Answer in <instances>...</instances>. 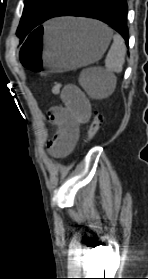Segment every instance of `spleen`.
Here are the masks:
<instances>
[{
    "mask_svg": "<svg viewBox=\"0 0 148 279\" xmlns=\"http://www.w3.org/2000/svg\"><path fill=\"white\" fill-rule=\"evenodd\" d=\"M126 45L124 39L116 34L113 36V43L105 59L107 73H120L125 63ZM88 71H83L79 82L81 86L93 98H105L115 89V82H107L102 79L90 80L86 78Z\"/></svg>",
    "mask_w": 148,
    "mask_h": 279,
    "instance_id": "obj_1",
    "label": "spleen"
}]
</instances>
